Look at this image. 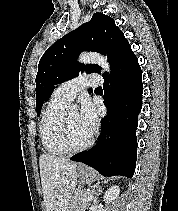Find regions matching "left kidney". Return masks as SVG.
Masks as SVG:
<instances>
[{
  "label": "left kidney",
  "mask_w": 178,
  "mask_h": 211,
  "mask_svg": "<svg viewBox=\"0 0 178 211\" xmlns=\"http://www.w3.org/2000/svg\"><path fill=\"white\" fill-rule=\"evenodd\" d=\"M119 192H120L119 186H117V185L111 186L105 192V195H104V201H105V203H111L112 201H114L115 199H117L118 196H119Z\"/></svg>",
  "instance_id": "1"
}]
</instances>
